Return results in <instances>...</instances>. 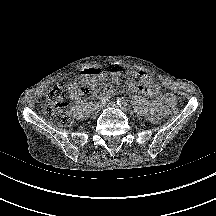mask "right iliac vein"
Returning a JSON list of instances; mask_svg holds the SVG:
<instances>
[{
  "instance_id": "right-iliac-vein-1",
  "label": "right iliac vein",
  "mask_w": 216,
  "mask_h": 216,
  "mask_svg": "<svg viewBox=\"0 0 216 216\" xmlns=\"http://www.w3.org/2000/svg\"><path fill=\"white\" fill-rule=\"evenodd\" d=\"M102 106V103L94 104V106L92 107V113L97 114L101 110Z\"/></svg>"
}]
</instances>
